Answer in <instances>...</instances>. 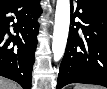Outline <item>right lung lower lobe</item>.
<instances>
[{
  "instance_id": "98d812e1",
  "label": "right lung lower lobe",
  "mask_w": 107,
  "mask_h": 89,
  "mask_svg": "<svg viewBox=\"0 0 107 89\" xmlns=\"http://www.w3.org/2000/svg\"><path fill=\"white\" fill-rule=\"evenodd\" d=\"M9 13L17 19L13 24L17 36L12 38L7 35L11 36L9 23L15 18ZM40 13L39 0L0 1V76L18 82L23 89H31Z\"/></svg>"
}]
</instances>
